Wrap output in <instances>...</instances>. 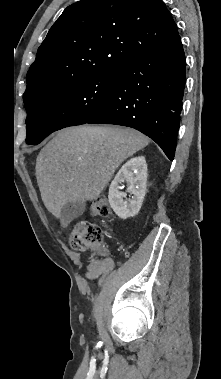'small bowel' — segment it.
I'll return each instance as SVG.
<instances>
[{
    "label": "small bowel",
    "instance_id": "c3829d8e",
    "mask_svg": "<svg viewBox=\"0 0 221 379\" xmlns=\"http://www.w3.org/2000/svg\"><path fill=\"white\" fill-rule=\"evenodd\" d=\"M113 260L106 258L102 260L95 268V270L88 275L90 279H96L99 282L102 281L103 275L113 268Z\"/></svg>",
    "mask_w": 221,
    "mask_h": 379
}]
</instances>
